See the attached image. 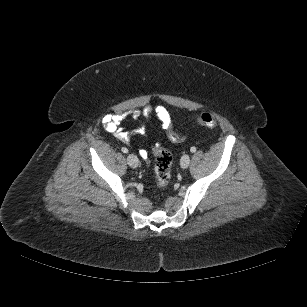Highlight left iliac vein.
Here are the masks:
<instances>
[{
  "label": "left iliac vein",
  "mask_w": 307,
  "mask_h": 307,
  "mask_svg": "<svg viewBox=\"0 0 307 307\" xmlns=\"http://www.w3.org/2000/svg\"><path fill=\"white\" fill-rule=\"evenodd\" d=\"M189 163H190V156L188 154H184L180 160L181 167L185 169L189 166Z\"/></svg>",
  "instance_id": "4c4485c4"
}]
</instances>
